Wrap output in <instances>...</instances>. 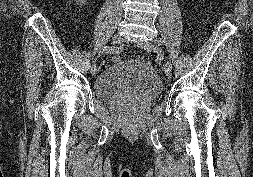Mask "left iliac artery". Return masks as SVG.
<instances>
[{
  "instance_id": "left-iliac-artery-1",
  "label": "left iliac artery",
  "mask_w": 253,
  "mask_h": 177,
  "mask_svg": "<svg viewBox=\"0 0 253 177\" xmlns=\"http://www.w3.org/2000/svg\"><path fill=\"white\" fill-rule=\"evenodd\" d=\"M155 44L157 46H161L163 44V41L161 39H157V40H155ZM155 56L157 57V59H156L157 63L165 64L166 66L172 65V62L170 59H164V57L166 56V53L162 52L159 48L157 49Z\"/></svg>"
}]
</instances>
